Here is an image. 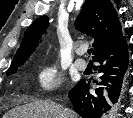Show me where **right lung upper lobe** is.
Segmentation results:
<instances>
[{"instance_id":"obj_1","label":"right lung upper lobe","mask_w":133,"mask_h":118,"mask_svg":"<svg viewBox=\"0 0 133 118\" xmlns=\"http://www.w3.org/2000/svg\"><path fill=\"white\" fill-rule=\"evenodd\" d=\"M75 26L80 32L95 39L94 57L123 38L118 15L109 0H86ZM47 27V16L37 18L28 27L10 67L23 64L28 59L38 46V41Z\"/></svg>"}]
</instances>
